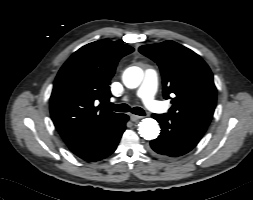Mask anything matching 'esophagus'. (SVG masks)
<instances>
[{"instance_id":"obj_1","label":"esophagus","mask_w":253,"mask_h":200,"mask_svg":"<svg viewBox=\"0 0 253 200\" xmlns=\"http://www.w3.org/2000/svg\"><path fill=\"white\" fill-rule=\"evenodd\" d=\"M142 117L141 116H138V115H134V114H131L130 115V119L131 121L133 122H137L138 120H140Z\"/></svg>"}]
</instances>
